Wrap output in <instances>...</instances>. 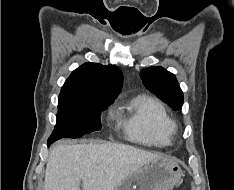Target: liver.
Masks as SVG:
<instances>
[{"mask_svg": "<svg viewBox=\"0 0 234 190\" xmlns=\"http://www.w3.org/2000/svg\"><path fill=\"white\" fill-rule=\"evenodd\" d=\"M160 157L119 143L57 145L46 165L44 190H114L127 176Z\"/></svg>", "mask_w": 234, "mask_h": 190, "instance_id": "6515ba94", "label": "liver"}]
</instances>
